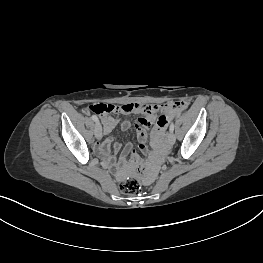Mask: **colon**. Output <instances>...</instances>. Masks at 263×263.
<instances>
[{
  "label": "colon",
  "mask_w": 263,
  "mask_h": 263,
  "mask_svg": "<svg viewBox=\"0 0 263 263\" xmlns=\"http://www.w3.org/2000/svg\"><path fill=\"white\" fill-rule=\"evenodd\" d=\"M176 103L179 105V108L176 110L177 112H180L185 109L186 105L184 102L181 101H176ZM169 103L166 100H163L161 102H144V103H137L136 101H127L122 104H116L114 105L113 103L109 104H96L92 105L89 107V110L101 115V114H112L113 112L116 114H122V115H129V114H158L168 108ZM174 115V114H173ZM173 115L171 117H173ZM156 119L155 123L153 124V127L156 125ZM167 126V125H166ZM165 126V127H166ZM153 131L150 134V138L153 135ZM161 145H162V140H161ZM152 150V146H151ZM162 154H163V149H162ZM161 154V160L163 162V157ZM162 164V163H161ZM119 189L122 193L124 194H136L141 190L140 183L137 179L131 178V179H126L122 181L119 184Z\"/></svg>",
  "instance_id": "colon-1"
}]
</instances>
